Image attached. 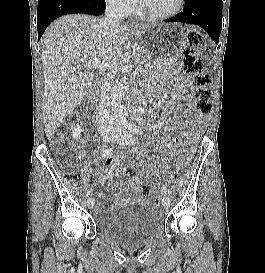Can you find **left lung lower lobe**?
<instances>
[{"instance_id": "1", "label": "left lung lower lobe", "mask_w": 265, "mask_h": 273, "mask_svg": "<svg viewBox=\"0 0 265 273\" xmlns=\"http://www.w3.org/2000/svg\"><path fill=\"white\" fill-rule=\"evenodd\" d=\"M165 21L198 25L218 43L222 27V0H185L183 11Z\"/></svg>"}]
</instances>
